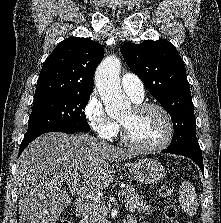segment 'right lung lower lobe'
Listing matches in <instances>:
<instances>
[{
    "label": "right lung lower lobe",
    "instance_id": "obj_1",
    "mask_svg": "<svg viewBox=\"0 0 221 223\" xmlns=\"http://www.w3.org/2000/svg\"><path fill=\"white\" fill-rule=\"evenodd\" d=\"M54 131L64 132V133H68V134H72V133L77 132V131L69 130V129H48V130L38 131V132H35L33 134L25 135L24 139H23V141H22V143L20 145V148H19V155L23 152V150L26 148V146L31 141H33L35 138H37L38 136H40L43 133L54 132Z\"/></svg>",
    "mask_w": 221,
    "mask_h": 223
}]
</instances>
